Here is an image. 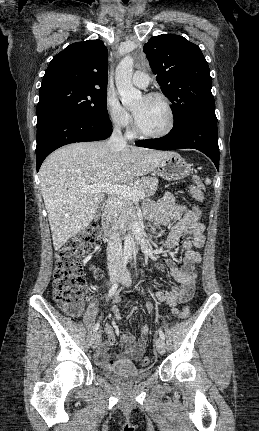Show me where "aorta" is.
Masks as SVG:
<instances>
[{
  "mask_svg": "<svg viewBox=\"0 0 259 431\" xmlns=\"http://www.w3.org/2000/svg\"><path fill=\"white\" fill-rule=\"evenodd\" d=\"M133 65V58L126 56L118 64L115 73V82L121 96V102L128 109L137 106L142 100L141 91L135 89L132 85ZM132 252V237L127 234L124 241V254L130 256Z\"/></svg>",
  "mask_w": 259,
  "mask_h": 431,
  "instance_id": "obj_1",
  "label": "aorta"
}]
</instances>
